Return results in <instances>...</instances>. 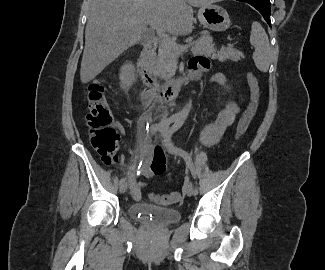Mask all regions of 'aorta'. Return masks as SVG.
Wrapping results in <instances>:
<instances>
[{"mask_svg": "<svg viewBox=\"0 0 325 270\" xmlns=\"http://www.w3.org/2000/svg\"><path fill=\"white\" fill-rule=\"evenodd\" d=\"M190 109V104H187L181 112L178 113V117L182 120L186 118Z\"/></svg>", "mask_w": 325, "mask_h": 270, "instance_id": "762f6f07", "label": "aorta"}]
</instances>
